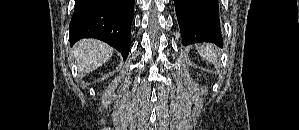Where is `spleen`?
I'll list each match as a JSON object with an SVG mask.
<instances>
[{"label":"spleen","mask_w":299,"mask_h":130,"mask_svg":"<svg viewBox=\"0 0 299 130\" xmlns=\"http://www.w3.org/2000/svg\"><path fill=\"white\" fill-rule=\"evenodd\" d=\"M200 56L205 59L207 62L213 64L217 60V55L214 50V46L210 44H204L197 46Z\"/></svg>","instance_id":"3e777b00"}]
</instances>
